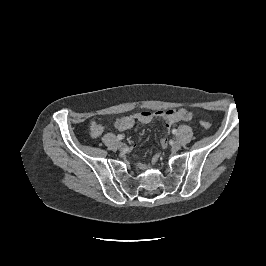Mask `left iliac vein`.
Instances as JSON below:
<instances>
[{
    "label": "left iliac vein",
    "instance_id": "4c4485c4",
    "mask_svg": "<svg viewBox=\"0 0 266 266\" xmlns=\"http://www.w3.org/2000/svg\"><path fill=\"white\" fill-rule=\"evenodd\" d=\"M180 147H181L180 142L177 141V140H175V141L173 142V144H172V148H173V150L178 151V150L180 149Z\"/></svg>",
    "mask_w": 266,
    "mask_h": 266
}]
</instances>
